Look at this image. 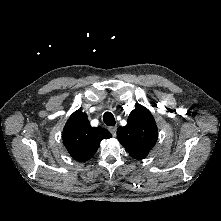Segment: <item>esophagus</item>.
<instances>
[{"instance_id":"esophagus-1","label":"esophagus","mask_w":221,"mask_h":221,"mask_svg":"<svg viewBox=\"0 0 221 221\" xmlns=\"http://www.w3.org/2000/svg\"><path fill=\"white\" fill-rule=\"evenodd\" d=\"M109 131L111 132V134H112L113 136H116L117 126L109 127Z\"/></svg>"}]
</instances>
